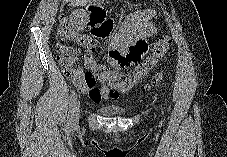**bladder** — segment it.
Here are the masks:
<instances>
[{"mask_svg":"<svg viewBox=\"0 0 227 157\" xmlns=\"http://www.w3.org/2000/svg\"><path fill=\"white\" fill-rule=\"evenodd\" d=\"M101 113L107 116H116L125 113V110L117 107V106H106L100 109Z\"/></svg>","mask_w":227,"mask_h":157,"instance_id":"obj_1","label":"bladder"}]
</instances>
